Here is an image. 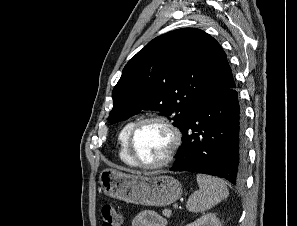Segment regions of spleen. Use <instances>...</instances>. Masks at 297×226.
Listing matches in <instances>:
<instances>
[{
    "instance_id": "1",
    "label": "spleen",
    "mask_w": 297,
    "mask_h": 226,
    "mask_svg": "<svg viewBox=\"0 0 297 226\" xmlns=\"http://www.w3.org/2000/svg\"><path fill=\"white\" fill-rule=\"evenodd\" d=\"M199 190L188 199L186 208L193 213L211 209L229 194L228 188L221 179L209 175L197 174Z\"/></svg>"
}]
</instances>
